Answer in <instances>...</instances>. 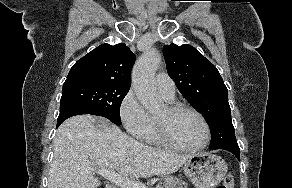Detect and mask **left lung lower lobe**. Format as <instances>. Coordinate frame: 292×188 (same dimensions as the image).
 I'll list each match as a JSON object with an SVG mask.
<instances>
[{
    "instance_id": "left-lung-lower-lobe-1",
    "label": "left lung lower lobe",
    "mask_w": 292,
    "mask_h": 188,
    "mask_svg": "<svg viewBox=\"0 0 292 188\" xmlns=\"http://www.w3.org/2000/svg\"><path fill=\"white\" fill-rule=\"evenodd\" d=\"M217 149L227 150V151L233 153L237 157V159L240 160V149H239L237 142L223 145Z\"/></svg>"
}]
</instances>
